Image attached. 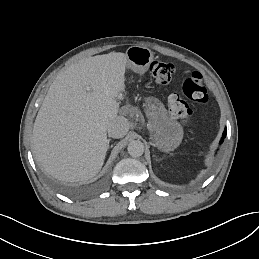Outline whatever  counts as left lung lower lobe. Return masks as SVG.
Masks as SVG:
<instances>
[{
	"label": "left lung lower lobe",
	"mask_w": 259,
	"mask_h": 259,
	"mask_svg": "<svg viewBox=\"0 0 259 259\" xmlns=\"http://www.w3.org/2000/svg\"><path fill=\"white\" fill-rule=\"evenodd\" d=\"M226 132H227V129L225 128V130H224V132H223V136H222V138H221V140H220V144L223 143L224 138H225V136H226Z\"/></svg>",
	"instance_id": "left-lung-lower-lobe-1"
}]
</instances>
